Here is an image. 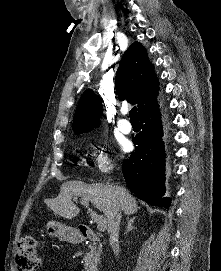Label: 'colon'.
<instances>
[{
    "label": "colon",
    "mask_w": 221,
    "mask_h": 271,
    "mask_svg": "<svg viewBox=\"0 0 221 271\" xmlns=\"http://www.w3.org/2000/svg\"><path fill=\"white\" fill-rule=\"evenodd\" d=\"M15 263L18 271H37L41 267L38 242L31 236L18 240Z\"/></svg>",
    "instance_id": "obj_1"
}]
</instances>
